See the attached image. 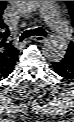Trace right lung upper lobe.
Returning <instances> with one entry per match:
<instances>
[{"instance_id": "1", "label": "right lung upper lobe", "mask_w": 74, "mask_h": 122, "mask_svg": "<svg viewBox=\"0 0 74 122\" xmlns=\"http://www.w3.org/2000/svg\"><path fill=\"white\" fill-rule=\"evenodd\" d=\"M5 6L6 1H0V77H6L18 59V50L7 42L10 33L1 16Z\"/></svg>"}]
</instances>
